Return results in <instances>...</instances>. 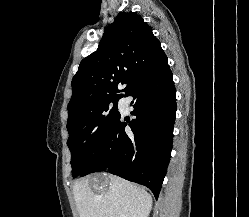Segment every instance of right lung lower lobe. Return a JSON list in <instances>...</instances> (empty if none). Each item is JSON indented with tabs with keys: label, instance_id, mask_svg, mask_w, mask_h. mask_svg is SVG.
I'll use <instances>...</instances> for the list:
<instances>
[{
	"label": "right lung lower lobe",
	"instance_id": "obj_1",
	"mask_svg": "<svg viewBox=\"0 0 249 217\" xmlns=\"http://www.w3.org/2000/svg\"><path fill=\"white\" fill-rule=\"evenodd\" d=\"M128 96L134 97L131 114L136 118H118L79 176L109 170L145 185L157 199L170 160L176 114V90L164 52ZM127 125L132 132H125Z\"/></svg>",
	"mask_w": 249,
	"mask_h": 217
}]
</instances>
